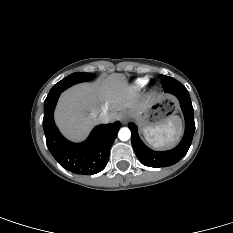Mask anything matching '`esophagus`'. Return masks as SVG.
Wrapping results in <instances>:
<instances>
[{
    "instance_id": "obj_1",
    "label": "esophagus",
    "mask_w": 233,
    "mask_h": 233,
    "mask_svg": "<svg viewBox=\"0 0 233 233\" xmlns=\"http://www.w3.org/2000/svg\"><path fill=\"white\" fill-rule=\"evenodd\" d=\"M129 113L128 112H122L121 114H120V120H121V122L123 123V124H126L127 123V121L129 120Z\"/></svg>"
}]
</instances>
